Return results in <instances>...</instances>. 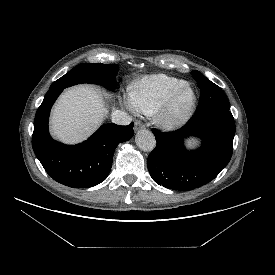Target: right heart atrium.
<instances>
[{
	"label": "right heart atrium",
	"mask_w": 275,
	"mask_h": 275,
	"mask_svg": "<svg viewBox=\"0 0 275 275\" xmlns=\"http://www.w3.org/2000/svg\"><path fill=\"white\" fill-rule=\"evenodd\" d=\"M125 103H126L127 107L130 108L131 110H136L135 106L133 104V101H132L131 92H129L128 96L126 97Z\"/></svg>",
	"instance_id": "right-heart-atrium-1"
}]
</instances>
